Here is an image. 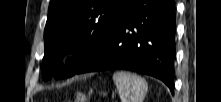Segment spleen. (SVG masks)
I'll return each instance as SVG.
<instances>
[{"instance_id": "obj_1", "label": "spleen", "mask_w": 221, "mask_h": 102, "mask_svg": "<svg viewBox=\"0 0 221 102\" xmlns=\"http://www.w3.org/2000/svg\"><path fill=\"white\" fill-rule=\"evenodd\" d=\"M113 81L122 102H142L144 100L148 86L141 76L126 71H117L113 74Z\"/></svg>"}]
</instances>
